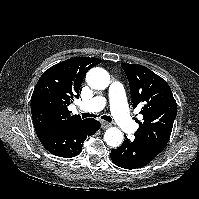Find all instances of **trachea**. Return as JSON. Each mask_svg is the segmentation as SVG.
<instances>
[{
	"mask_svg": "<svg viewBox=\"0 0 199 199\" xmlns=\"http://www.w3.org/2000/svg\"><path fill=\"white\" fill-rule=\"evenodd\" d=\"M82 117H83V118H94V117H96V115H95V114H90V113H82ZM101 118H102L103 120L108 121V122H111V121H112V119H111L110 116L104 115V116H102Z\"/></svg>",
	"mask_w": 199,
	"mask_h": 199,
	"instance_id": "trachea-1",
	"label": "trachea"
}]
</instances>
